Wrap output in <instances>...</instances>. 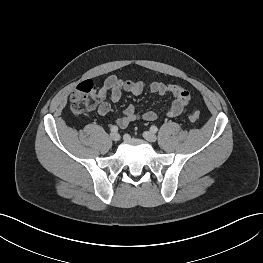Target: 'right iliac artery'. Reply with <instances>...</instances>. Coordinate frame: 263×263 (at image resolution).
Returning a JSON list of instances; mask_svg holds the SVG:
<instances>
[{"label":"right iliac artery","instance_id":"obj_1","mask_svg":"<svg viewBox=\"0 0 263 263\" xmlns=\"http://www.w3.org/2000/svg\"><path fill=\"white\" fill-rule=\"evenodd\" d=\"M110 130H111V132H117L118 131V127L114 125V126H112L110 128Z\"/></svg>","mask_w":263,"mask_h":263}]
</instances>
